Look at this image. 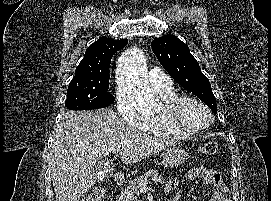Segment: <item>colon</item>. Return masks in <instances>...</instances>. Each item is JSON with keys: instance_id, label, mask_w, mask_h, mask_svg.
Returning a JSON list of instances; mask_svg holds the SVG:
<instances>
[{"instance_id": "5ec220e1", "label": "colon", "mask_w": 271, "mask_h": 201, "mask_svg": "<svg viewBox=\"0 0 271 201\" xmlns=\"http://www.w3.org/2000/svg\"><path fill=\"white\" fill-rule=\"evenodd\" d=\"M200 152L204 156H214L217 153V144L214 141H209L200 146ZM104 190L102 187H96L91 193L86 195L81 201H100Z\"/></svg>"}]
</instances>
